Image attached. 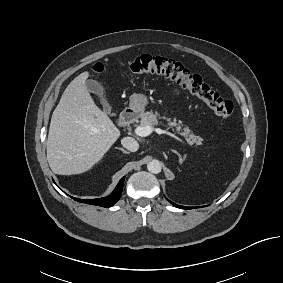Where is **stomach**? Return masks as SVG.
Returning a JSON list of instances; mask_svg holds the SVG:
<instances>
[{
    "label": "stomach",
    "instance_id": "stomach-1",
    "mask_svg": "<svg viewBox=\"0 0 283 283\" xmlns=\"http://www.w3.org/2000/svg\"><path fill=\"white\" fill-rule=\"evenodd\" d=\"M148 104V98L144 94H133L130 98L129 108L134 113H142Z\"/></svg>",
    "mask_w": 283,
    "mask_h": 283
}]
</instances>
